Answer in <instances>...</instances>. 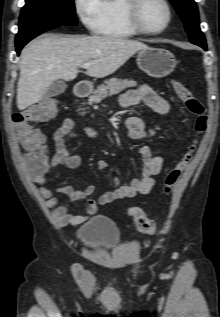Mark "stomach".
I'll return each mask as SVG.
<instances>
[{"mask_svg":"<svg viewBox=\"0 0 220 317\" xmlns=\"http://www.w3.org/2000/svg\"><path fill=\"white\" fill-rule=\"evenodd\" d=\"M137 65L149 76L161 78L174 70L176 60L174 55L166 49L147 47L139 51Z\"/></svg>","mask_w":220,"mask_h":317,"instance_id":"stomach-1","label":"stomach"}]
</instances>
